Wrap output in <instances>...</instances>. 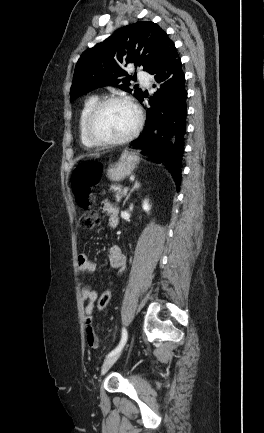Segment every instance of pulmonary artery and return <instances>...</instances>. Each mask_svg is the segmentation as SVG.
<instances>
[{
	"label": "pulmonary artery",
	"instance_id": "e3ab8cb5",
	"mask_svg": "<svg viewBox=\"0 0 264 433\" xmlns=\"http://www.w3.org/2000/svg\"><path fill=\"white\" fill-rule=\"evenodd\" d=\"M138 78L140 80H143L146 85L149 84V82L146 80V73L145 72H142V71L138 72Z\"/></svg>",
	"mask_w": 264,
	"mask_h": 433
}]
</instances>
